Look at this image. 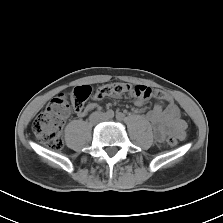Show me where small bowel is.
Listing matches in <instances>:
<instances>
[{"mask_svg":"<svg viewBox=\"0 0 223 223\" xmlns=\"http://www.w3.org/2000/svg\"><path fill=\"white\" fill-rule=\"evenodd\" d=\"M167 103L166 107H163L160 102L156 103L147 113L146 118L153 126L154 134L158 140H162L168 132H174L180 139H183L185 137L186 123L181 118L179 109L172 99ZM134 104L139 107L143 102L136 99ZM95 108V103H89L82 111L78 112V115L84 117Z\"/></svg>","mask_w":223,"mask_h":223,"instance_id":"obj_1","label":"small bowel"}]
</instances>
